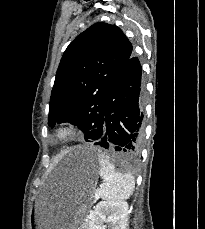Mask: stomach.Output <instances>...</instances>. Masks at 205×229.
<instances>
[{
  "label": "stomach",
  "instance_id": "stomach-1",
  "mask_svg": "<svg viewBox=\"0 0 205 229\" xmlns=\"http://www.w3.org/2000/svg\"><path fill=\"white\" fill-rule=\"evenodd\" d=\"M73 151V150H72ZM83 173V196L70 207L64 195L39 197L32 205L30 229H82L84 213L93 198V184L99 172V158L93 150L76 148Z\"/></svg>",
  "mask_w": 205,
  "mask_h": 229
}]
</instances>
